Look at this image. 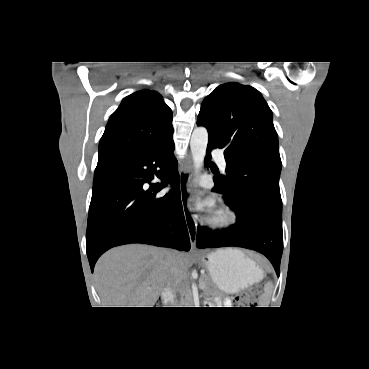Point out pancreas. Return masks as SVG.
<instances>
[{
  "instance_id": "pancreas-1",
  "label": "pancreas",
  "mask_w": 369,
  "mask_h": 369,
  "mask_svg": "<svg viewBox=\"0 0 369 369\" xmlns=\"http://www.w3.org/2000/svg\"><path fill=\"white\" fill-rule=\"evenodd\" d=\"M199 287L203 290H206L207 289V279H201L200 280V283H199ZM185 303L186 304H189L190 303V300L189 298H186L185 299Z\"/></svg>"
}]
</instances>
